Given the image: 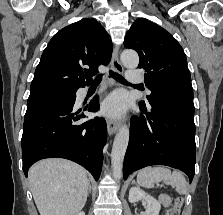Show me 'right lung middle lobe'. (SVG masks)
Instances as JSON below:
<instances>
[{
    "instance_id": "obj_1",
    "label": "right lung middle lobe",
    "mask_w": 223,
    "mask_h": 215,
    "mask_svg": "<svg viewBox=\"0 0 223 215\" xmlns=\"http://www.w3.org/2000/svg\"><path fill=\"white\" fill-rule=\"evenodd\" d=\"M76 99V92L49 91L30 94L27 101V112L59 105L72 103Z\"/></svg>"
}]
</instances>
